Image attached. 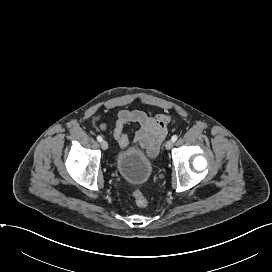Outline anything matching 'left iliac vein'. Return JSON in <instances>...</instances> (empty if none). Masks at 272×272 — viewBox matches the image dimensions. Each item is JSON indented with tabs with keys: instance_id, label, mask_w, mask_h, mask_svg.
<instances>
[{
	"instance_id": "4c4485c4",
	"label": "left iliac vein",
	"mask_w": 272,
	"mask_h": 272,
	"mask_svg": "<svg viewBox=\"0 0 272 272\" xmlns=\"http://www.w3.org/2000/svg\"><path fill=\"white\" fill-rule=\"evenodd\" d=\"M172 147H173V141H172V140H168V141L165 143V148H166L167 150H170Z\"/></svg>"
}]
</instances>
